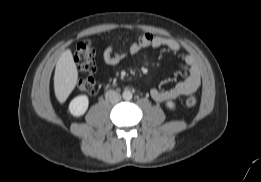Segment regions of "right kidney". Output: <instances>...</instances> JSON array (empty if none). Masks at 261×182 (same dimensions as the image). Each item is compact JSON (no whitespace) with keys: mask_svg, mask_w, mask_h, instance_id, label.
Masks as SVG:
<instances>
[{"mask_svg":"<svg viewBox=\"0 0 261 182\" xmlns=\"http://www.w3.org/2000/svg\"><path fill=\"white\" fill-rule=\"evenodd\" d=\"M89 99L86 95L75 97L69 104V112L75 116H82L88 109Z\"/></svg>","mask_w":261,"mask_h":182,"instance_id":"ca27d5eb","label":"right kidney"}]
</instances>
